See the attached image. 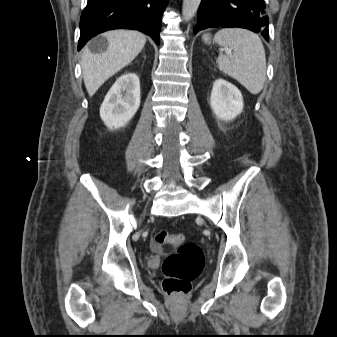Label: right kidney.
<instances>
[{
  "instance_id": "right-kidney-1",
  "label": "right kidney",
  "mask_w": 337,
  "mask_h": 337,
  "mask_svg": "<svg viewBox=\"0 0 337 337\" xmlns=\"http://www.w3.org/2000/svg\"><path fill=\"white\" fill-rule=\"evenodd\" d=\"M140 106V82L135 73L121 75L100 107V117L110 129L125 126Z\"/></svg>"
}]
</instances>
